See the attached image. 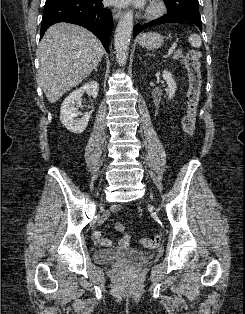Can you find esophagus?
Returning <instances> with one entry per match:
<instances>
[{
  "mask_svg": "<svg viewBox=\"0 0 245 314\" xmlns=\"http://www.w3.org/2000/svg\"><path fill=\"white\" fill-rule=\"evenodd\" d=\"M112 15H113L114 20H117L122 16V11L120 9L113 8Z\"/></svg>",
  "mask_w": 245,
  "mask_h": 314,
  "instance_id": "34e87169",
  "label": "esophagus"
}]
</instances>
